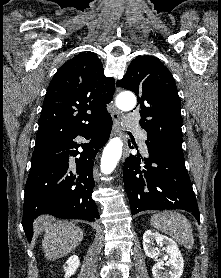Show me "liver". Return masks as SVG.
<instances>
[{
	"instance_id": "1",
	"label": "liver",
	"mask_w": 221,
	"mask_h": 278,
	"mask_svg": "<svg viewBox=\"0 0 221 278\" xmlns=\"http://www.w3.org/2000/svg\"><path fill=\"white\" fill-rule=\"evenodd\" d=\"M36 223L45 229L42 249L49 260L68 255L83 240V231L73 223L54 221L49 216H40Z\"/></svg>"
}]
</instances>
